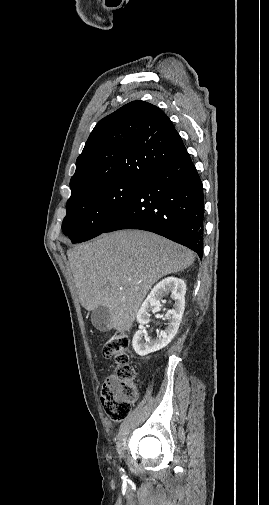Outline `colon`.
Masks as SVG:
<instances>
[{
  "label": "colon",
  "instance_id": "obj_1",
  "mask_svg": "<svg viewBox=\"0 0 269 505\" xmlns=\"http://www.w3.org/2000/svg\"><path fill=\"white\" fill-rule=\"evenodd\" d=\"M129 335L115 332L104 344L103 354L117 364L115 373L103 382L101 403L107 416L115 421L126 418L138 399L134 383L135 372L129 364Z\"/></svg>",
  "mask_w": 269,
  "mask_h": 505
}]
</instances>
